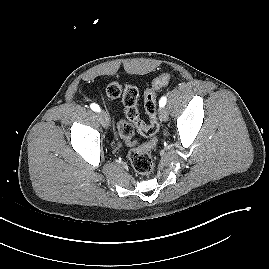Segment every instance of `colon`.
<instances>
[{"mask_svg":"<svg viewBox=\"0 0 269 269\" xmlns=\"http://www.w3.org/2000/svg\"><path fill=\"white\" fill-rule=\"evenodd\" d=\"M171 79L169 73H163L155 78L144 93V109L148 116V122L145 123L139 116L138 109V89L133 85L122 86L118 82L110 83L106 88V94L109 99H116L122 96L124 112L127 120H122L118 124V133L120 137L130 146L135 144L133 140L134 132L137 130L145 137H153L159 130L157 118V100L156 92L167 85ZM155 146V140L147 144L134 147L129 152V160L134 170L143 175L150 176L155 171V161L151 154Z\"/></svg>","mask_w":269,"mask_h":269,"instance_id":"colon-1","label":"colon"}]
</instances>
